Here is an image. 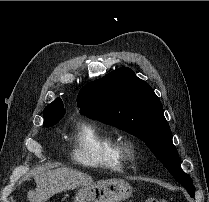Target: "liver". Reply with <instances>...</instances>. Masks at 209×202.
<instances>
[{
    "mask_svg": "<svg viewBox=\"0 0 209 202\" xmlns=\"http://www.w3.org/2000/svg\"><path fill=\"white\" fill-rule=\"evenodd\" d=\"M34 180L35 191L27 193L30 202H45L57 193L93 183L91 176L66 167L41 172L35 175Z\"/></svg>",
    "mask_w": 209,
    "mask_h": 202,
    "instance_id": "obj_1",
    "label": "liver"
}]
</instances>
